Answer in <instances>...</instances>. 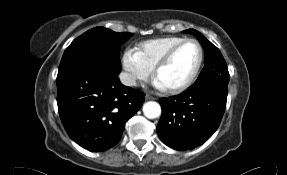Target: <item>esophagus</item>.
Returning <instances> with one entry per match:
<instances>
[{
	"instance_id": "esophagus-1",
	"label": "esophagus",
	"mask_w": 287,
	"mask_h": 175,
	"mask_svg": "<svg viewBox=\"0 0 287 175\" xmlns=\"http://www.w3.org/2000/svg\"><path fill=\"white\" fill-rule=\"evenodd\" d=\"M145 99L146 100H152V99H154V97L149 95V94H146Z\"/></svg>"
}]
</instances>
